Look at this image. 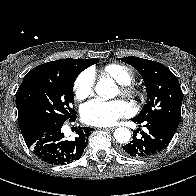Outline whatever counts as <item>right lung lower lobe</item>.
<instances>
[{
  "instance_id": "1",
  "label": "right lung lower lobe",
  "mask_w": 196,
  "mask_h": 196,
  "mask_svg": "<svg viewBox=\"0 0 196 196\" xmlns=\"http://www.w3.org/2000/svg\"><path fill=\"white\" fill-rule=\"evenodd\" d=\"M76 116L70 118L74 121ZM64 122L46 123L22 132L28 148L42 161L52 165H64L78 160L87 145V137L93 128L78 127L74 140H65L61 127Z\"/></svg>"
}]
</instances>
